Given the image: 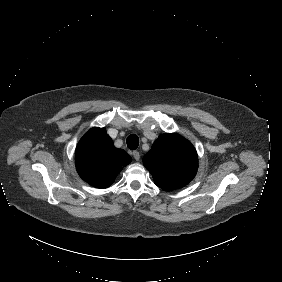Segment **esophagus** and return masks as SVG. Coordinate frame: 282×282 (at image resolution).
<instances>
[{"label": "esophagus", "mask_w": 282, "mask_h": 282, "mask_svg": "<svg viewBox=\"0 0 282 282\" xmlns=\"http://www.w3.org/2000/svg\"><path fill=\"white\" fill-rule=\"evenodd\" d=\"M133 157L136 161H139L140 159V154L138 151H133Z\"/></svg>", "instance_id": "34e87169"}]
</instances>
